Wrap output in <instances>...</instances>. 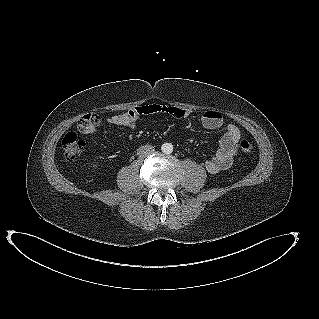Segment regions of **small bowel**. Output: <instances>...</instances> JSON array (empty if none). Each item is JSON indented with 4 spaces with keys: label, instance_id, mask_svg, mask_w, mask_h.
Masks as SVG:
<instances>
[{
    "label": "small bowel",
    "instance_id": "c3829d8e",
    "mask_svg": "<svg viewBox=\"0 0 319 319\" xmlns=\"http://www.w3.org/2000/svg\"><path fill=\"white\" fill-rule=\"evenodd\" d=\"M165 114L174 118L186 120L190 117V111L177 106L145 104L129 109L126 112L112 115L102 119L93 114V120L86 124H79L78 130L84 135H94L98 127L105 121L113 126H123L135 129L138 119L143 115ZM202 126L208 130H217L224 124L221 113L217 111H207L201 118ZM241 132L234 124H228L222 136L219 148L214 156L205 162V168L210 173H218L228 169L234 161L238 151V143Z\"/></svg>",
    "mask_w": 319,
    "mask_h": 319
}]
</instances>
